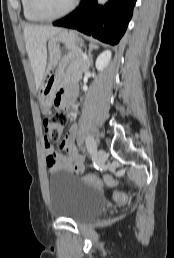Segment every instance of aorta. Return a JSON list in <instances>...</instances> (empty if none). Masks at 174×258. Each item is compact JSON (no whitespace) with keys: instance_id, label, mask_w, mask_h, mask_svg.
I'll return each mask as SVG.
<instances>
[{"instance_id":"obj_1","label":"aorta","mask_w":174,"mask_h":258,"mask_svg":"<svg viewBox=\"0 0 174 258\" xmlns=\"http://www.w3.org/2000/svg\"><path fill=\"white\" fill-rule=\"evenodd\" d=\"M97 2H98V4L103 5V4H105L106 2H108V0H97Z\"/></svg>"}]
</instances>
